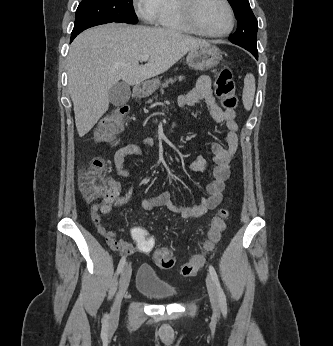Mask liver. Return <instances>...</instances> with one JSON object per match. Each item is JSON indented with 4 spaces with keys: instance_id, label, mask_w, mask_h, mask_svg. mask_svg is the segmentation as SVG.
Masks as SVG:
<instances>
[{
    "instance_id": "liver-1",
    "label": "liver",
    "mask_w": 333,
    "mask_h": 346,
    "mask_svg": "<svg viewBox=\"0 0 333 346\" xmlns=\"http://www.w3.org/2000/svg\"><path fill=\"white\" fill-rule=\"evenodd\" d=\"M207 44L171 29L115 23L78 35L67 56V74L79 136L87 134L108 110L109 90L119 80L138 86ZM143 56L149 57L148 62L139 65Z\"/></svg>"
}]
</instances>
